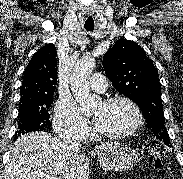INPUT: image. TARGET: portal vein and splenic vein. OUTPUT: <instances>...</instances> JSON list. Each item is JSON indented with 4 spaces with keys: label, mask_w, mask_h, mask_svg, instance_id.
<instances>
[{
    "label": "portal vein and splenic vein",
    "mask_w": 183,
    "mask_h": 179,
    "mask_svg": "<svg viewBox=\"0 0 183 179\" xmlns=\"http://www.w3.org/2000/svg\"><path fill=\"white\" fill-rule=\"evenodd\" d=\"M49 179H60V178H58L57 176H52Z\"/></svg>",
    "instance_id": "obj_1"
}]
</instances>
